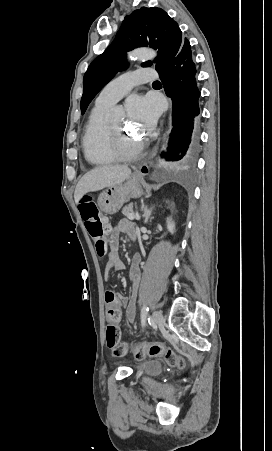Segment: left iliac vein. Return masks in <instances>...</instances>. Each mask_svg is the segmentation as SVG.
Here are the masks:
<instances>
[{
  "label": "left iliac vein",
  "mask_w": 272,
  "mask_h": 451,
  "mask_svg": "<svg viewBox=\"0 0 272 451\" xmlns=\"http://www.w3.org/2000/svg\"><path fill=\"white\" fill-rule=\"evenodd\" d=\"M152 320L156 325L164 322L163 314L161 311L155 310L152 314Z\"/></svg>",
  "instance_id": "left-iliac-vein-1"
}]
</instances>
